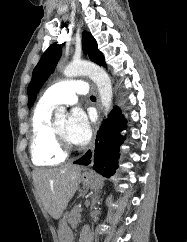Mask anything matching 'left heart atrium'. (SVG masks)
Here are the masks:
<instances>
[{"instance_id":"left-heart-atrium-1","label":"left heart atrium","mask_w":187,"mask_h":242,"mask_svg":"<svg viewBox=\"0 0 187 242\" xmlns=\"http://www.w3.org/2000/svg\"><path fill=\"white\" fill-rule=\"evenodd\" d=\"M91 136V126L85 112L79 108L73 109L69 115L65 137L74 145L85 144Z\"/></svg>"}]
</instances>
